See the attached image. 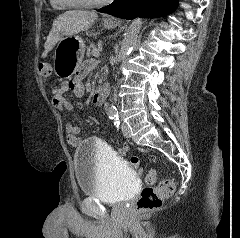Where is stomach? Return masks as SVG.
<instances>
[{
	"label": "stomach",
	"instance_id": "0dacf381",
	"mask_svg": "<svg viewBox=\"0 0 240 238\" xmlns=\"http://www.w3.org/2000/svg\"><path fill=\"white\" fill-rule=\"evenodd\" d=\"M118 23H105V28L113 29ZM85 53V44L81 37L71 35L62 37L54 52V72L68 79L81 64Z\"/></svg>",
	"mask_w": 240,
	"mask_h": 238
}]
</instances>
